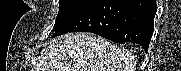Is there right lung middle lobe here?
I'll return each instance as SVG.
<instances>
[{
  "instance_id": "obj_1",
  "label": "right lung middle lobe",
  "mask_w": 181,
  "mask_h": 71,
  "mask_svg": "<svg viewBox=\"0 0 181 71\" xmlns=\"http://www.w3.org/2000/svg\"><path fill=\"white\" fill-rule=\"evenodd\" d=\"M93 1L94 0H59V12L53 30L56 31L65 25Z\"/></svg>"
}]
</instances>
